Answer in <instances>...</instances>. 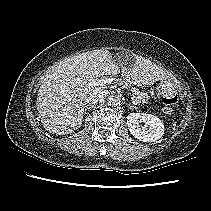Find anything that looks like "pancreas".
Instances as JSON below:
<instances>
[{"mask_svg":"<svg viewBox=\"0 0 211 211\" xmlns=\"http://www.w3.org/2000/svg\"><path fill=\"white\" fill-rule=\"evenodd\" d=\"M131 91L133 93V97L137 100V102L142 103V104L148 103L149 95L147 93L140 92L136 88H132Z\"/></svg>","mask_w":211,"mask_h":211,"instance_id":"1","label":"pancreas"}]
</instances>
